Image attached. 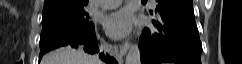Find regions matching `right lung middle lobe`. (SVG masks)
<instances>
[{
  "mask_svg": "<svg viewBox=\"0 0 242 64\" xmlns=\"http://www.w3.org/2000/svg\"><path fill=\"white\" fill-rule=\"evenodd\" d=\"M94 34V25L89 21L85 8L43 13L40 56L70 42L88 39Z\"/></svg>",
  "mask_w": 242,
  "mask_h": 64,
  "instance_id": "dd1d6c3e",
  "label": "right lung middle lobe"
}]
</instances>
